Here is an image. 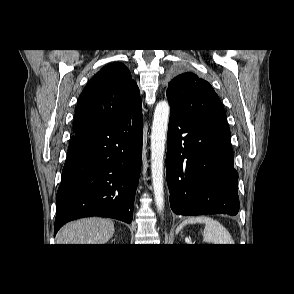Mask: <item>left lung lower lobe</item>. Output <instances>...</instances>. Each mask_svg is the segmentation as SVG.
I'll return each instance as SVG.
<instances>
[{"instance_id":"1","label":"left lung lower lobe","mask_w":294,"mask_h":294,"mask_svg":"<svg viewBox=\"0 0 294 294\" xmlns=\"http://www.w3.org/2000/svg\"><path fill=\"white\" fill-rule=\"evenodd\" d=\"M229 132L224 121H193L170 112L166 177L174 213H238V173Z\"/></svg>"}]
</instances>
